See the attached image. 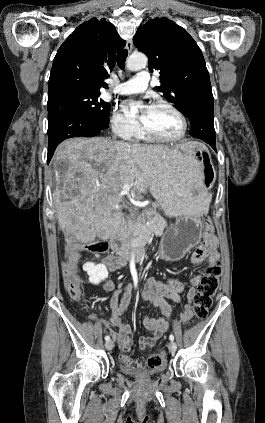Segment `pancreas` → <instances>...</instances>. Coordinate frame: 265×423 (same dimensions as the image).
Wrapping results in <instances>:
<instances>
[{
    "label": "pancreas",
    "instance_id": "cf45deb5",
    "mask_svg": "<svg viewBox=\"0 0 265 423\" xmlns=\"http://www.w3.org/2000/svg\"><path fill=\"white\" fill-rule=\"evenodd\" d=\"M155 207L158 204L154 205ZM167 226V222L157 213L148 220H139L129 225L127 235L134 239L135 242L144 244L154 234H162Z\"/></svg>",
    "mask_w": 265,
    "mask_h": 423
}]
</instances>
